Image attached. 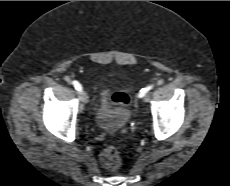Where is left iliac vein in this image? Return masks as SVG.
I'll return each mask as SVG.
<instances>
[{
    "mask_svg": "<svg viewBox=\"0 0 230 186\" xmlns=\"http://www.w3.org/2000/svg\"><path fill=\"white\" fill-rule=\"evenodd\" d=\"M149 100H150V96H149V95H145V96L143 97V101H144V102H149Z\"/></svg>",
    "mask_w": 230,
    "mask_h": 186,
    "instance_id": "obj_1",
    "label": "left iliac vein"
}]
</instances>
